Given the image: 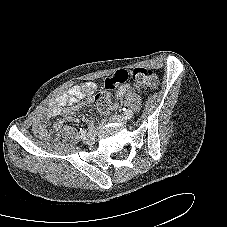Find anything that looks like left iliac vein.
I'll use <instances>...</instances> for the list:
<instances>
[{"label":"left iliac vein","instance_id":"obj_1","mask_svg":"<svg viewBox=\"0 0 227 227\" xmlns=\"http://www.w3.org/2000/svg\"><path fill=\"white\" fill-rule=\"evenodd\" d=\"M133 115L131 116H121V115H113L110 117V121L126 124L127 120L131 119Z\"/></svg>","mask_w":227,"mask_h":227}]
</instances>
